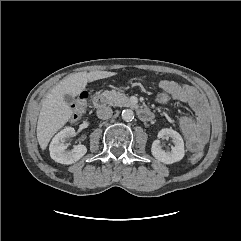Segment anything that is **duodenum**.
<instances>
[{"label": "duodenum", "mask_w": 241, "mask_h": 241, "mask_svg": "<svg viewBox=\"0 0 241 241\" xmlns=\"http://www.w3.org/2000/svg\"><path fill=\"white\" fill-rule=\"evenodd\" d=\"M106 104V98L103 95H95L93 97V105L97 109H101ZM138 116L143 121H149L152 119V113L149 109L141 108L138 110Z\"/></svg>", "instance_id": "410a0bca"}]
</instances>
